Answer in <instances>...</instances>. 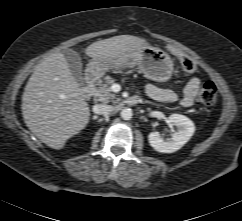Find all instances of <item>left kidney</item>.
<instances>
[{
  "instance_id": "left-kidney-1",
  "label": "left kidney",
  "mask_w": 242,
  "mask_h": 221,
  "mask_svg": "<svg viewBox=\"0 0 242 221\" xmlns=\"http://www.w3.org/2000/svg\"><path fill=\"white\" fill-rule=\"evenodd\" d=\"M169 123L175 125L178 131L171 134V138L164 140L160 133L155 131L148 135L150 145L162 153H173L187 143L195 132L194 123L186 116L172 114L169 116Z\"/></svg>"
}]
</instances>
